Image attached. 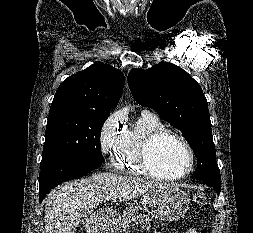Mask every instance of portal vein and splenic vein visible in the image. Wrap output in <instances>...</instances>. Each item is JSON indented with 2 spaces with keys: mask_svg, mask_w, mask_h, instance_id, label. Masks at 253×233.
<instances>
[{
  "mask_svg": "<svg viewBox=\"0 0 253 233\" xmlns=\"http://www.w3.org/2000/svg\"><path fill=\"white\" fill-rule=\"evenodd\" d=\"M111 198H112V196H111V195H107V196L105 197V201H110V200H111Z\"/></svg>",
  "mask_w": 253,
  "mask_h": 233,
  "instance_id": "obj_1",
  "label": "portal vein and splenic vein"
}]
</instances>
